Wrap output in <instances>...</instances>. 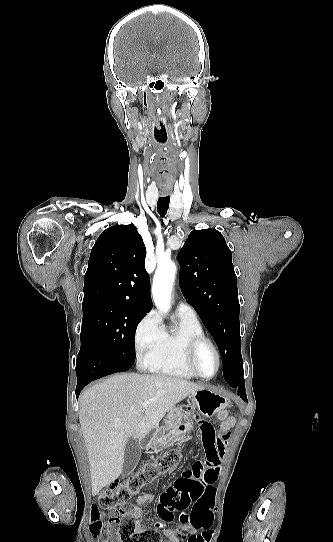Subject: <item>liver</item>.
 <instances>
[{"mask_svg":"<svg viewBox=\"0 0 333 542\" xmlns=\"http://www.w3.org/2000/svg\"><path fill=\"white\" fill-rule=\"evenodd\" d=\"M203 386L167 374H115L83 392L79 422L92 496L122 474L129 438L142 442L178 402ZM143 402H150L143 408Z\"/></svg>","mask_w":333,"mask_h":542,"instance_id":"1","label":"liver"}]
</instances>
